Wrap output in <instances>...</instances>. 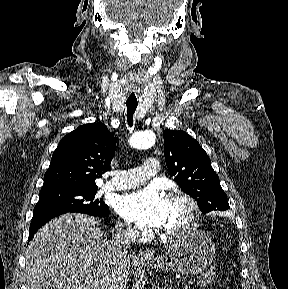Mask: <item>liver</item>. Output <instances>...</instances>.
<instances>
[{"label": "liver", "mask_w": 288, "mask_h": 289, "mask_svg": "<svg viewBox=\"0 0 288 289\" xmlns=\"http://www.w3.org/2000/svg\"><path fill=\"white\" fill-rule=\"evenodd\" d=\"M110 258V240L96 218L79 213L61 215L42 227L28 245V289H95ZM129 267L127 258L117 289H125Z\"/></svg>", "instance_id": "liver-1"}]
</instances>
